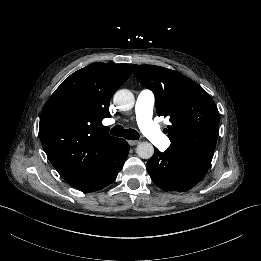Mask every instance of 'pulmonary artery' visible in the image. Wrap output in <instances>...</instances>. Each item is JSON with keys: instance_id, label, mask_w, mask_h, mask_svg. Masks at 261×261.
Here are the masks:
<instances>
[{"instance_id": "e3ab8cb5", "label": "pulmonary artery", "mask_w": 261, "mask_h": 261, "mask_svg": "<svg viewBox=\"0 0 261 261\" xmlns=\"http://www.w3.org/2000/svg\"><path fill=\"white\" fill-rule=\"evenodd\" d=\"M154 106V94L146 89L141 90L135 103L136 121L141 131L151 140L153 145L165 151L170 148L171 140L160 132L159 126L153 123Z\"/></svg>"}]
</instances>
